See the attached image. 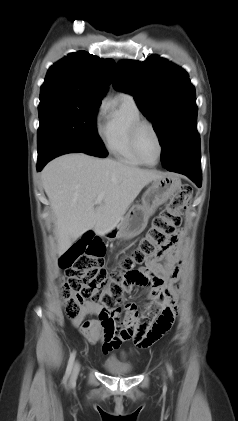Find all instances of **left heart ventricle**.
Instances as JSON below:
<instances>
[{"label":"left heart ventricle","mask_w":238,"mask_h":421,"mask_svg":"<svg viewBox=\"0 0 238 421\" xmlns=\"http://www.w3.org/2000/svg\"><path fill=\"white\" fill-rule=\"evenodd\" d=\"M138 145L140 152L144 159L149 163H154L157 160L159 147L152 130L145 126L142 128Z\"/></svg>","instance_id":"1"}]
</instances>
